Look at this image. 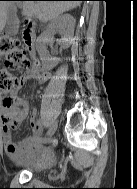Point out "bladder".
<instances>
[{"mask_svg":"<svg viewBox=\"0 0 137 189\" xmlns=\"http://www.w3.org/2000/svg\"><path fill=\"white\" fill-rule=\"evenodd\" d=\"M31 171H32V173H37V174L41 172V170L38 168H34Z\"/></svg>","mask_w":137,"mask_h":189,"instance_id":"1","label":"bladder"}]
</instances>
